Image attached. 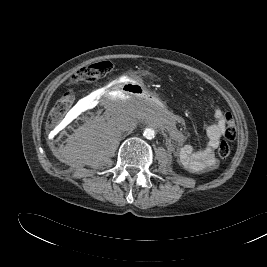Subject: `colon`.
<instances>
[{"label":"colon","instance_id":"1","mask_svg":"<svg viewBox=\"0 0 267 267\" xmlns=\"http://www.w3.org/2000/svg\"><path fill=\"white\" fill-rule=\"evenodd\" d=\"M111 66L112 64L107 61L83 66L72 75L71 83L77 84L80 82H91L98 80L111 69ZM73 102L74 92L69 89L64 92L51 110L48 116V124L50 126L58 124L73 105ZM224 136L226 140H233L236 137V129L231 117L228 119ZM226 140L222 141L218 147V155L221 158H226L231 153V147Z\"/></svg>","mask_w":267,"mask_h":267}]
</instances>
